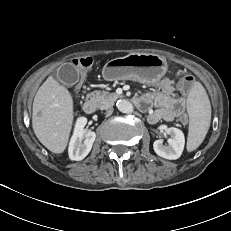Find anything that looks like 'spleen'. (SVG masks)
Wrapping results in <instances>:
<instances>
[{
  "label": "spleen",
  "instance_id": "1",
  "mask_svg": "<svg viewBox=\"0 0 231 231\" xmlns=\"http://www.w3.org/2000/svg\"><path fill=\"white\" fill-rule=\"evenodd\" d=\"M189 131L187 150L197 149L203 142L211 121V105L204 87L195 82L187 98Z\"/></svg>",
  "mask_w": 231,
  "mask_h": 231
}]
</instances>
